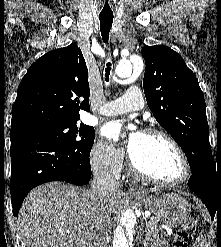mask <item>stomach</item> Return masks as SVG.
<instances>
[{"label": "stomach", "mask_w": 221, "mask_h": 247, "mask_svg": "<svg viewBox=\"0 0 221 247\" xmlns=\"http://www.w3.org/2000/svg\"><path fill=\"white\" fill-rule=\"evenodd\" d=\"M134 199L144 204L159 221L169 227H177L185 222L191 212L189 203L176 193L161 196L142 193L134 195Z\"/></svg>", "instance_id": "1"}]
</instances>
